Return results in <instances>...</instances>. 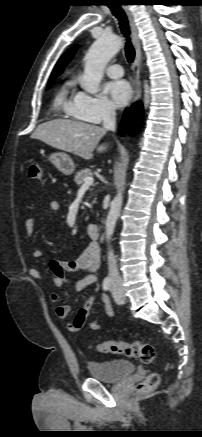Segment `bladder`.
Returning a JSON list of instances; mask_svg holds the SVG:
<instances>
[{
  "instance_id": "1",
  "label": "bladder",
  "mask_w": 202,
  "mask_h": 437,
  "mask_svg": "<svg viewBox=\"0 0 202 437\" xmlns=\"http://www.w3.org/2000/svg\"><path fill=\"white\" fill-rule=\"evenodd\" d=\"M88 370L92 378L102 382L116 383L131 375L135 370L133 362L124 359L91 361Z\"/></svg>"
}]
</instances>
